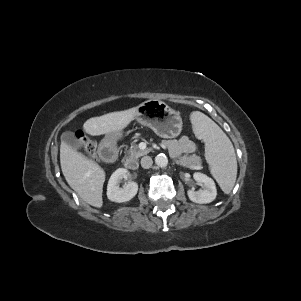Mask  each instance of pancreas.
Listing matches in <instances>:
<instances>
[{"mask_svg":"<svg viewBox=\"0 0 301 301\" xmlns=\"http://www.w3.org/2000/svg\"><path fill=\"white\" fill-rule=\"evenodd\" d=\"M149 152V150H140L135 143H131V147L129 151L127 152L126 156L130 160L138 159L139 157L146 155ZM178 163L182 166L193 168L196 165L201 164V159L197 155H191V156H183L179 159Z\"/></svg>","mask_w":301,"mask_h":301,"instance_id":"cf45deb5","label":"pancreas"}]
</instances>
